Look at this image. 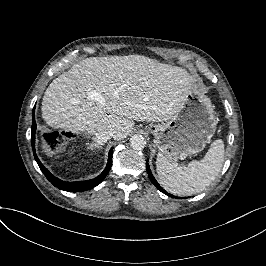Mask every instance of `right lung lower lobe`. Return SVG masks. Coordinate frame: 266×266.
<instances>
[{"label": "right lung lower lobe", "instance_id": "1", "mask_svg": "<svg viewBox=\"0 0 266 266\" xmlns=\"http://www.w3.org/2000/svg\"><path fill=\"white\" fill-rule=\"evenodd\" d=\"M36 122H35V106L33 108V112H32V137H31V144H32V149H33V154L35 157L36 162L38 163L41 171L44 173V175L46 176V178L57 188L64 190V191H69V192H82V191H87L90 190L92 188H94L95 186L99 185L104 178L106 177V175L108 174L111 165H112V151L113 148L110 149L109 151V155H108V163L106 168L104 169V171L96 178L91 179V180H86V181H77V182H65L62 181L58 178H56L55 176H53L45 167L44 165L41 163V161L39 160L36 151H35V132H36Z\"/></svg>", "mask_w": 266, "mask_h": 266}]
</instances>
